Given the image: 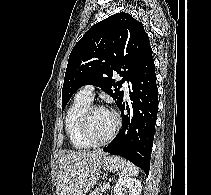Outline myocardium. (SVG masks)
Listing matches in <instances>:
<instances>
[{"label":"myocardium","instance_id":"f54148a6","mask_svg":"<svg viewBox=\"0 0 211 195\" xmlns=\"http://www.w3.org/2000/svg\"><path fill=\"white\" fill-rule=\"evenodd\" d=\"M97 110H108L110 111L115 119V124L114 127L112 129V131L110 132V134L103 140L101 141H94L90 138L89 133H88V123H89V119L91 114L94 111ZM121 126V119L120 116L118 115V113L108 107L102 106V105H89L84 112L82 113L81 117H80V121H79V131H80V135L83 138V140L90 146V147H100L103 146L105 144H107L108 142H110L115 135L117 134L119 128Z\"/></svg>","mask_w":211,"mask_h":195}]
</instances>
